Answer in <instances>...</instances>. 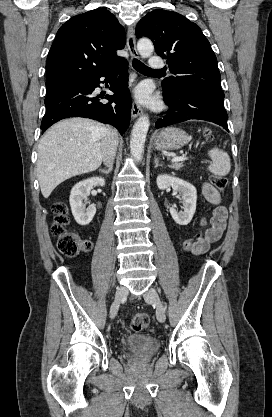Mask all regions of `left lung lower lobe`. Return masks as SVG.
<instances>
[{"instance_id": "left-lung-lower-lobe-1", "label": "left lung lower lobe", "mask_w": 272, "mask_h": 417, "mask_svg": "<svg viewBox=\"0 0 272 417\" xmlns=\"http://www.w3.org/2000/svg\"><path fill=\"white\" fill-rule=\"evenodd\" d=\"M163 95L170 110L163 119L156 121L157 129L190 119H199L216 123L228 131V115L224 103L189 90L170 94L163 89Z\"/></svg>"}]
</instances>
